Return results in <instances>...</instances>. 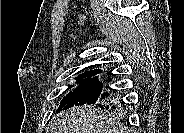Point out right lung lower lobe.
Returning a JSON list of instances; mask_svg holds the SVG:
<instances>
[{
	"mask_svg": "<svg viewBox=\"0 0 184 133\" xmlns=\"http://www.w3.org/2000/svg\"><path fill=\"white\" fill-rule=\"evenodd\" d=\"M110 89V88H109ZM114 94L112 92H109L108 90H103L99 97L94 100L93 103L102 104V103H108L110 100H113ZM117 104V102L115 101Z\"/></svg>",
	"mask_w": 184,
	"mask_h": 133,
	"instance_id": "1",
	"label": "right lung lower lobe"
}]
</instances>
